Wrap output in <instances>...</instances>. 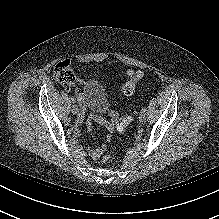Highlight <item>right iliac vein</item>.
I'll use <instances>...</instances> for the list:
<instances>
[{"instance_id":"63e3f726","label":"right iliac vein","mask_w":219,"mask_h":219,"mask_svg":"<svg viewBox=\"0 0 219 219\" xmlns=\"http://www.w3.org/2000/svg\"><path fill=\"white\" fill-rule=\"evenodd\" d=\"M71 111L74 115L78 114L79 112V108H78V105L77 104H73L72 107H71Z\"/></svg>"}]
</instances>
